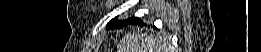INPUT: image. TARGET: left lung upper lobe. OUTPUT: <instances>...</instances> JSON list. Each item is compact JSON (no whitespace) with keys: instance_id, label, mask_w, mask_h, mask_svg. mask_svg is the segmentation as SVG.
Instances as JSON below:
<instances>
[{"instance_id":"left-lung-upper-lobe-1","label":"left lung upper lobe","mask_w":261,"mask_h":52,"mask_svg":"<svg viewBox=\"0 0 261 52\" xmlns=\"http://www.w3.org/2000/svg\"><path fill=\"white\" fill-rule=\"evenodd\" d=\"M139 20V18L136 17H132L128 20H124V21H118L117 17L113 18L108 24H107V28H111V27H115L116 25L119 27H123L129 23H134L135 21Z\"/></svg>"}]
</instances>
